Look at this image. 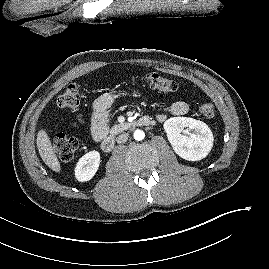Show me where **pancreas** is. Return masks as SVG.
I'll list each match as a JSON object with an SVG mask.
<instances>
[{"label": "pancreas", "mask_w": 269, "mask_h": 269, "mask_svg": "<svg viewBox=\"0 0 269 269\" xmlns=\"http://www.w3.org/2000/svg\"><path fill=\"white\" fill-rule=\"evenodd\" d=\"M130 126L129 123H121L113 126L110 130L111 134H117L119 132H122L123 130L127 129Z\"/></svg>", "instance_id": "pancreas-1"}]
</instances>
